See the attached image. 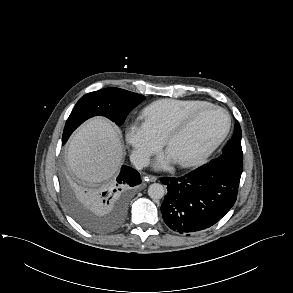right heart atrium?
<instances>
[{
    "label": "right heart atrium",
    "mask_w": 293,
    "mask_h": 293,
    "mask_svg": "<svg viewBox=\"0 0 293 293\" xmlns=\"http://www.w3.org/2000/svg\"><path fill=\"white\" fill-rule=\"evenodd\" d=\"M125 138L132 148V159L137 165L146 163L148 158L158 151L164 141L145 119L139 117L127 122Z\"/></svg>",
    "instance_id": "d8ad5b80"
}]
</instances>
